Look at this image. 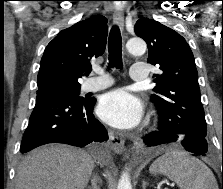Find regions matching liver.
<instances>
[{
    "label": "liver",
    "mask_w": 223,
    "mask_h": 189,
    "mask_svg": "<svg viewBox=\"0 0 223 189\" xmlns=\"http://www.w3.org/2000/svg\"><path fill=\"white\" fill-rule=\"evenodd\" d=\"M94 168L86 151L67 145L34 149L17 168L15 189H84Z\"/></svg>",
    "instance_id": "obj_1"
}]
</instances>
